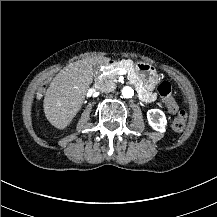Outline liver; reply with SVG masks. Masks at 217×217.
Listing matches in <instances>:
<instances>
[{
    "instance_id": "1",
    "label": "liver",
    "mask_w": 217,
    "mask_h": 217,
    "mask_svg": "<svg viewBox=\"0 0 217 217\" xmlns=\"http://www.w3.org/2000/svg\"><path fill=\"white\" fill-rule=\"evenodd\" d=\"M108 61L106 57L78 60L64 67L54 77L43 102L45 116L51 125L64 129L70 124L93 81V66Z\"/></svg>"
}]
</instances>
